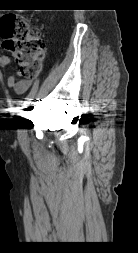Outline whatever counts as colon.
I'll return each mask as SVG.
<instances>
[{"label":"colon","mask_w":138,"mask_h":253,"mask_svg":"<svg viewBox=\"0 0 138 253\" xmlns=\"http://www.w3.org/2000/svg\"><path fill=\"white\" fill-rule=\"evenodd\" d=\"M0 36L6 51L15 57L20 73L34 78L45 55V43L36 31L30 29L22 16L8 14L0 19Z\"/></svg>","instance_id":"5ec220e1"}]
</instances>
